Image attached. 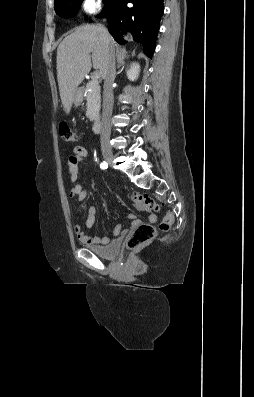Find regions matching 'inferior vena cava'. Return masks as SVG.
<instances>
[{"mask_svg":"<svg viewBox=\"0 0 254 397\" xmlns=\"http://www.w3.org/2000/svg\"><path fill=\"white\" fill-rule=\"evenodd\" d=\"M104 39L108 45L107 63L104 73L103 86V108L101 121V147L110 148V134H111V115L113 110V83L116 76L115 69V52L113 46L110 44V35L105 27H102Z\"/></svg>","mask_w":254,"mask_h":397,"instance_id":"obj_1","label":"inferior vena cava"}]
</instances>
